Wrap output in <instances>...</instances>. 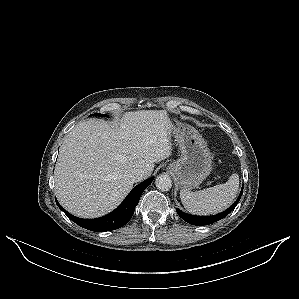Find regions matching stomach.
<instances>
[{
	"mask_svg": "<svg viewBox=\"0 0 299 299\" xmlns=\"http://www.w3.org/2000/svg\"><path fill=\"white\" fill-rule=\"evenodd\" d=\"M181 157L168 166L182 189L191 190L199 186L212 170V157L205 140L191 125L170 118Z\"/></svg>",
	"mask_w": 299,
	"mask_h": 299,
	"instance_id": "obj_1",
	"label": "stomach"
}]
</instances>
